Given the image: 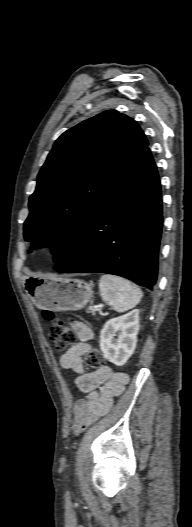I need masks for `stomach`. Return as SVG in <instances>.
I'll return each mask as SVG.
<instances>
[{
    "label": "stomach",
    "instance_id": "obj_1",
    "mask_svg": "<svg viewBox=\"0 0 192 527\" xmlns=\"http://www.w3.org/2000/svg\"><path fill=\"white\" fill-rule=\"evenodd\" d=\"M24 286L34 304L42 310H80L93 297L92 285L75 278L28 277Z\"/></svg>",
    "mask_w": 192,
    "mask_h": 527
}]
</instances>
